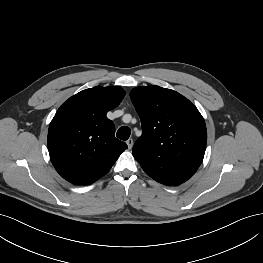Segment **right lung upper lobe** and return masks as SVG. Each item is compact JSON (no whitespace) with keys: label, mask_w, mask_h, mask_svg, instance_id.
<instances>
[{"label":"right lung upper lobe","mask_w":263,"mask_h":263,"mask_svg":"<svg viewBox=\"0 0 263 263\" xmlns=\"http://www.w3.org/2000/svg\"><path fill=\"white\" fill-rule=\"evenodd\" d=\"M119 86L93 87L70 97L48 131L51 162L67 181L89 185L107 174L127 145L106 116L125 96Z\"/></svg>","instance_id":"cb5924a9"}]
</instances>
